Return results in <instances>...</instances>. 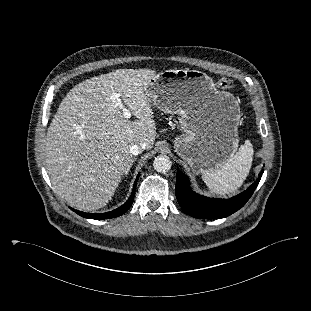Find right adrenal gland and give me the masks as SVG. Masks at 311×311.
Returning <instances> with one entry per match:
<instances>
[{
  "label": "right adrenal gland",
  "mask_w": 311,
  "mask_h": 311,
  "mask_svg": "<svg viewBox=\"0 0 311 311\" xmlns=\"http://www.w3.org/2000/svg\"><path fill=\"white\" fill-rule=\"evenodd\" d=\"M134 161H136V158H134V159L132 160V163L128 166V168H127V170H126V172H125V176L128 175V173H129V171H130V168L132 167Z\"/></svg>",
  "instance_id": "2a0ac1e0"
}]
</instances>
